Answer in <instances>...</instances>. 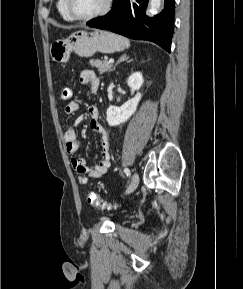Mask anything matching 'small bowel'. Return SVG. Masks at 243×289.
<instances>
[{"instance_id":"small-bowel-1","label":"small bowel","mask_w":243,"mask_h":289,"mask_svg":"<svg viewBox=\"0 0 243 289\" xmlns=\"http://www.w3.org/2000/svg\"><path fill=\"white\" fill-rule=\"evenodd\" d=\"M82 85L89 87L92 93H95L99 86V80L96 74L91 70H84L80 76ZM80 107L79 101H71L65 106V113L73 115ZM90 116V128L100 135L102 146L101 159L94 165H88L83 157H73L71 165L78 174V183L81 185L88 184L91 178L99 179L108 170L110 166L109 141L104 127L99 122V110L96 106L88 107ZM65 149L69 155L75 154L79 149L77 134L73 127L68 128L64 133Z\"/></svg>"}]
</instances>
